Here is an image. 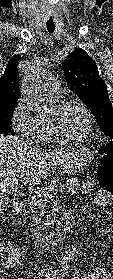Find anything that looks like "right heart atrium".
<instances>
[{"mask_svg": "<svg viewBox=\"0 0 113 279\" xmlns=\"http://www.w3.org/2000/svg\"><path fill=\"white\" fill-rule=\"evenodd\" d=\"M11 125L21 137L35 141L39 134L38 118L32 114L27 101L20 97L11 115Z\"/></svg>", "mask_w": 113, "mask_h": 279, "instance_id": "right-heart-atrium-1", "label": "right heart atrium"}]
</instances>
